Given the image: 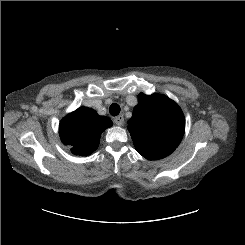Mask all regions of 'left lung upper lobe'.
<instances>
[{"mask_svg": "<svg viewBox=\"0 0 245 245\" xmlns=\"http://www.w3.org/2000/svg\"><path fill=\"white\" fill-rule=\"evenodd\" d=\"M136 150L148 160L170 155L180 144L185 119L179 106L164 95L140 93L128 121Z\"/></svg>", "mask_w": 245, "mask_h": 245, "instance_id": "5c2ea615", "label": "left lung upper lobe"}]
</instances>
